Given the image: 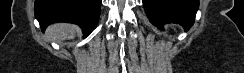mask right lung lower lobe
Listing matches in <instances>:
<instances>
[{
	"instance_id": "obj_1",
	"label": "right lung lower lobe",
	"mask_w": 244,
	"mask_h": 73,
	"mask_svg": "<svg viewBox=\"0 0 244 73\" xmlns=\"http://www.w3.org/2000/svg\"><path fill=\"white\" fill-rule=\"evenodd\" d=\"M101 0H35L34 12L41 29L55 22L79 25L85 36L96 27Z\"/></svg>"
}]
</instances>
